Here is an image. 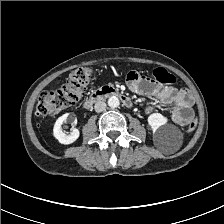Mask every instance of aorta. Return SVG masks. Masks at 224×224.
I'll return each mask as SVG.
<instances>
[{
    "label": "aorta",
    "instance_id": "1",
    "mask_svg": "<svg viewBox=\"0 0 224 224\" xmlns=\"http://www.w3.org/2000/svg\"><path fill=\"white\" fill-rule=\"evenodd\" d=\"M119 104H120V101L116 96H112L108 99V106L111 108H117Z\"/></svg>",
    "mask_w": 224,
    "mask_h": 224
}]
</instances>
